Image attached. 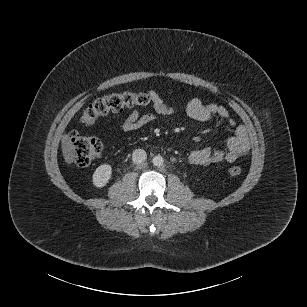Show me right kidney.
<instances>
[{
    "label": "right kidney",
    "instance_id": "ca27d5eb",
    "mask_svg": "<svg viewBox=\"0 0 307 307\" xmlns=\"http://www.w3.org/2000/svg\"><path fill=\"white\" fill-rule=\"evenodd\" d=\"M112 177V166L102 164L96 168L92 176V185L96 189H101L107 186Z\"/></svg>",
    "mask_w": 307,
    "mask_h": 307
}]
</instances>
